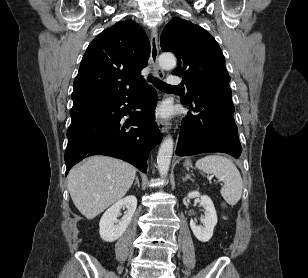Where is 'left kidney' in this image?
Listing matches in <instances>:
<instances>
[{"label": "left kidney", "mask_w": 308, "mask_h": 278, "mask_svg": "<svg viewBox=\"0 0 308 278\" xmlns=\"http://www.w3.org/2000/svg\"><path fill=\"white\" fill-rule=\"evenodd\" d=\"M189 198H201L200 205L205 209V218L203 226H198L193 220L190 221V228L195 237L201 242H208L212 235L214 227L217 224V213L213 201L207 195H200L199 192L193 191L188 194Z\"/></svg>", "instance_id": "1"}]
</instances>
